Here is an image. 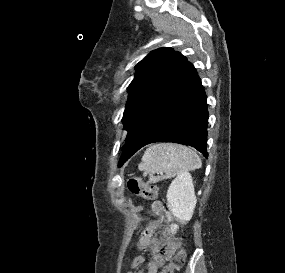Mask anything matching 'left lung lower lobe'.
Returning <instances> with one entry per match:
<instances>
[{
    "mask_svg": "<svg viewBox=\"0 0 285 273\" xmlns=\"http://www.w3.org/2000/svg\"><path fill=\"white\" fill-rule=\"evenodd\" d=\"M207 124L206 94L194 66L187 62L171 89L129 129L118 166L154 142L190 145L207 158Z\"/></svg>",
    "mask_w": 285,
    "mask_h": 273,
    "instance_id": "0a47b994",
    "label": "left lung lower lobe"
}]
</instances>
